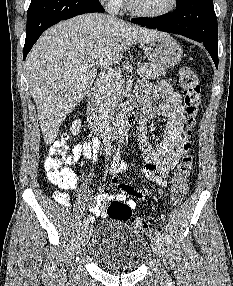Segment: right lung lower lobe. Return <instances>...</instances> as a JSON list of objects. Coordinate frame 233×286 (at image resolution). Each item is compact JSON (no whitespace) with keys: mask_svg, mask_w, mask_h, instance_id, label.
Returning <instances> with one entry per match:
<instances>
[{"mask_svg":"<svg viewBox=\"0 0 233 286\" xmlns=\"http://www.w3.org/2000/svg\"><path fill=\"white\" fill-rule=\"evenodd\" d=\"M104 11L99 0H31L23 58H26L40 35L52 25L80 14Z\"/></svg>","mask_w":233,"mask_h":286,"instance_id":"obj_1","label":"right lung lower lobe"}]
</instances>
